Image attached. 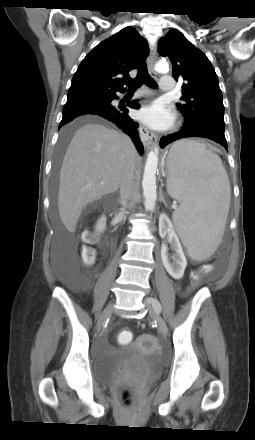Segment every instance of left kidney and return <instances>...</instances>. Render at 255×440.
<instances>
[{"label":"left kidney","instance_id":"1","mask_svg":"<svg viewBox=\"0 0 255 440\" xmlns=\"http://www.w3.org/2000/svg\"><path fill=\"white\" fill-rule=\"evenodd\" d=\"M159 227L160 231L163 230L168 234V242L171 244L173 250L175 251L173 261L171 262L168 257L167 247L165 244H162L161 258L163 265L172 278L180 279L184 275V271L187 266V260L182 250L179 238L173 229V225L170 219L165 214L160 215Z\"/></svg>","mask_w":255,"mask_h":440}]
</instances>
